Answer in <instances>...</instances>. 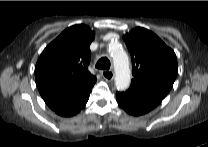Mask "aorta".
Listing matches in <instances>:
<instances>
[{"mask_svg": "<svg viewBox=\"0 0 208 147\" xmlns=\"http://www.w3.org/2000/svg\"><path fill=\"white\" fill-rule=\"evenodd\" d=\"M111 56L115 69V86L119 91L125 90L131 80L127 53L116 43L111 46Z\"/></svg>", "mask_w": 208, "mask_h": 147, "instance_id": "obj_1", "label": "aorta"}]
</instances>
